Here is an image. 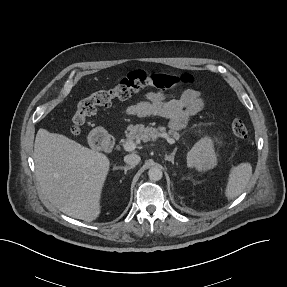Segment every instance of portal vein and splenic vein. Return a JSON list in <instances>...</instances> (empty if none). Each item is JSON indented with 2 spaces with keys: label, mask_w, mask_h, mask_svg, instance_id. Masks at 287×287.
Instances as JSON below:
<instances>
[{
  "label": "portal vein and splenic vein",
  "mask_w": 287,
  "mask_h": 287,
  "mask_svg": "<svg viewBox=\"0 0 287 287\" xmlns=\"http://www.w3.org/2000/svg\"><path fill=\"white\" fill-rule=\"evenodd\" d=\"M163 137L166 139V141L169 144H175V140L170 138L169 136L164 135ZM123 148H124L125 151H133L136 148V145H135V143L133 141H129V142H126L123 145Z\"/></svg>",
  "instance_id": "18ae733b"
}]
</instances>
